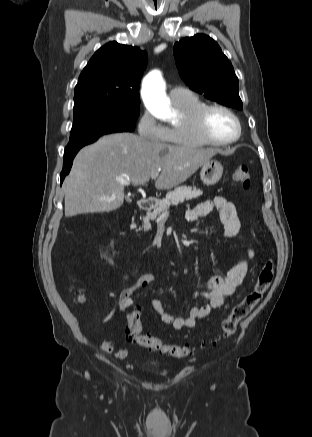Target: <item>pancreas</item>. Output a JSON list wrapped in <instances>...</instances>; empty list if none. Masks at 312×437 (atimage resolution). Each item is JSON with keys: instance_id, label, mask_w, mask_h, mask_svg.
<instances>
[{"instance_id": "obj_1", "label": "pancreas", "mask_w": 312, "mask_h": 437, "mask_svg": "<svg viewBox=\"0 0 312 437\" xmlns=\"http://www.w3.org/2000/svg\"><path fill=\"white\" fill-rule=\"evenodd\" d=\"M202 195L201 190L187 186L175 188L166 194V197L159 201L153 212H148L143 218V226L140 229L148 231L151 229L150 220H155L161 213L169 210L171 205H178L185 200H192Z\"/></svg>"}]
</instances>
